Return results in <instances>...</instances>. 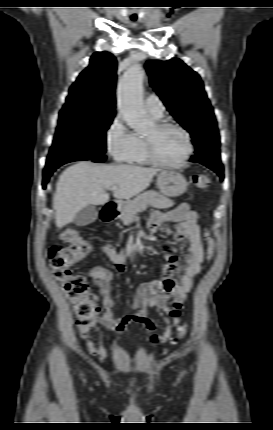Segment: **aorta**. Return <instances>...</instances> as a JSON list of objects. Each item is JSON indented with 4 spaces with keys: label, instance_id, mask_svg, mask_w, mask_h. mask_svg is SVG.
<instances>
[{
    "label": "aorta",
    "instance_id": "1",
    "mask_svg": "<svg viewBox=\"0 0 273 430\" xmlns=\"http://www.w3.org/2000/svg\"><path fill=\"white\" fill-rule=\"evenodd\" d=\"M118 109L127 125L136 132H144L151 126V121L143 103V69L133 65L123 75L117 88Z\"/></svg>",
    "mask_w": 273,
    "mask_h": 430
}]
</instances>
